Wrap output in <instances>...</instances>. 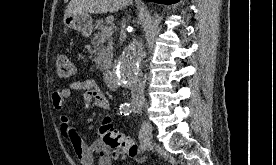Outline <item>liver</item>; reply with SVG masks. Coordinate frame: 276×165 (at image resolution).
<instances>
[{"instance_id": "6515ba94", "label": "liver", "mask_w": 276, "mask_h": 165, "mask_svg": "<svg viewBox=\"0 0 276 165\" xmlns=\"http://www.w3.org/2000/svg\"><path fill=\"white\" fill-rule=\"evenodd\" d=\"M132 0H71L64 18L75 14H103L114 13L129 4Z\"/></svg>"}]
</instances>
